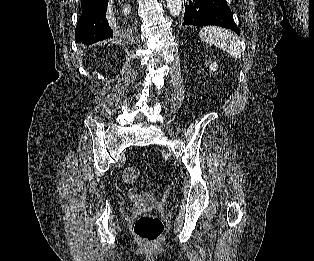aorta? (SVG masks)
I'll return each instance as SVG.
<instances>
[{
	"label": "aorta",
	"instance_id": "1",
	"mask_svg": "<svg viewBox=\"0 0 314 261\" xmlns=\"http://www.w3.org/2000/svg\"><path fill=\"white\" fill-rule=\"evenodd\" d=\"M170 14L174 17L180 15L182 10V0H166Z\"/></svg>",
	"mask_w": 314,
	"mask_h": 261
}]
</instances>
